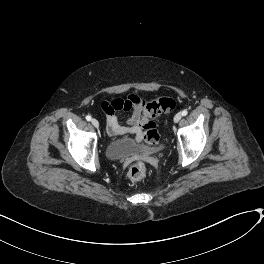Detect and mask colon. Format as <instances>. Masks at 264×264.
I'll return each mask as SVG.
<instances>
[{"mask_svg": "<svg viewBox=\"0 0 264 264\" xmlns=\"http://www.w3.org/2000/svg\"><path fill=\"white\" fill-rule=\"evenodd\" d=\"M175 107V100L169 97H161L146 104L145 120L143 127V140L148 145H156L159 142V133L156 129L155 119L162 113L169 112ZM146 174V167L142 162H136L129 169V178L132 181L141 180Z\"/></svg>", "mask_w": 264, "mask_h": 264, "instance_id": "5ec220e1", "label": "colon"}]
</instances>
